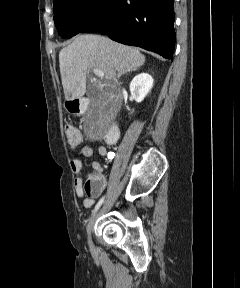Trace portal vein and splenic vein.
I'll return each mask as SVG.
<instances>
[{
  "label": "portal vein and splenic vein",
  "instance_id": "1",
  "mask_svg": "<svg viewBox=\"0 0 240 288\" xmlns=\"http://www.w3.org/2000/svg\"><path fill=\"white\" fill-rule=\"evenodd\" d=\"M93 72L95 73L96 76L98 77H104V72L99 70V69H93Z\"/></svg>",
  "mask_w": 240,
  "mask_h": 288
}]
</instances>
